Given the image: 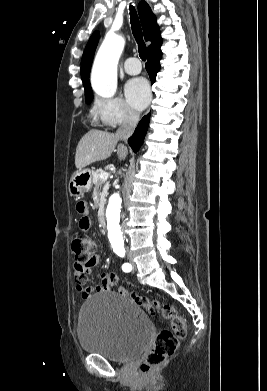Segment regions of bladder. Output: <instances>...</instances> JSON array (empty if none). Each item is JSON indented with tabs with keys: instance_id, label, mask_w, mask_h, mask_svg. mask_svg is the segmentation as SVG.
<instances>
[{
	"instance_id": "1",
	"label": "bladder",
	"mask_w": 267,
	"mask_h": 391,
	"mask_svg": "<svg viewBox=\"0 0 267 391\" xmlns=\"http://www.w3.org/2000/svg\"><path fill=\"white\" fill-rule=\"evenodd\" d=\"M153 326L145 312L127 297L105 291L81 307L77 335L82 350L124 362L147 346Z\"/></svg>"
}]
</instances>
